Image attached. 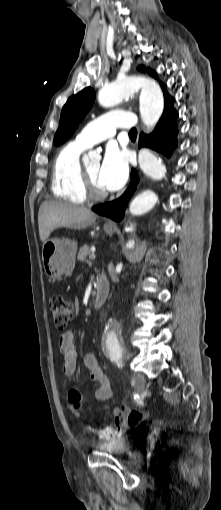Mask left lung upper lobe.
<instances>
[{
    "label": "left lung upper lobe",
    "mask_w": 221,
    "mask_h": 510,
    "mask_svg": "<svg viewBox=\"0 0 221 510\" xmlns=\"http://www.w3.org/2000/svg\"><path fill=\"white\" fill-rule=\"evenodd\" d=\"M138 70L147 71L151 76L157 78V74L149 68L146 70L145 66H139ZM160 85L164 92V110L173 107L174 99L167 93L165 85L161 82ZM94 100L95 92L90 87L68 99L61 112L60 125L54 136V145L58 146L64 143L74 133L80 121L91 109Z\"/></svg>",
    "instance_id": "5c2ea615"
}]
</instances>
